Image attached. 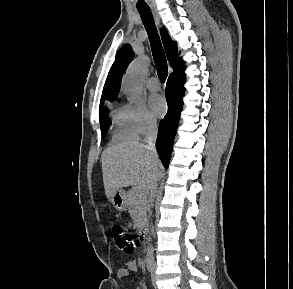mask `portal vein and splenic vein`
<instances>
[{"instance_id": "1", "label": "portal vein and splenic vein", "mask_w": 293, "mask_h": 289, "mask_svg": "<svg viewBox=\"0 0 293 289\" xmlns=\"http://www.w3.org/2000/svg\"><path fill=\"white\" fill-rule=\"evenodd\" d=\"M134 190L136 191V192H139V193H142V190H141V188H134Z\"/></svg>"}]
</instances>
